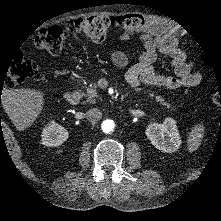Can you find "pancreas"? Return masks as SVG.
I'll return each mask as SVG.
<instances>
[{"instance_id":"1","label":"pancreas","mask_w":221,"mask_h":221,"mask_svg":"<svg viewBox=\"0 0 221 221\" xmlns=\"http://www.w3.org/2000/svg\"><path fill=\"white\" fill-rule=\"evenodd\" d=\"M97 85L93 84L91 87H88L86 89V94H83L87 97V102L91 104L96 103V98L98 97L96 92ZM142 95L147 98L148 101L154 102L157 105H160L161 108H163V111L166 113H174L175 112V105L173 103H170L168 99H165V97L161 94L153 92V90L150 87H143L142 88Z\"/></svg>"}]
</instances>
